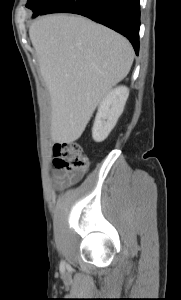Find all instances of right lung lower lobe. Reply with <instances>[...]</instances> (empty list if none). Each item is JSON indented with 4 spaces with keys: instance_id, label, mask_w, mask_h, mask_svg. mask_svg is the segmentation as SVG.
<instances>
[{
    "instance_id": "right-lung-lower-lobe-1",
    "label": "right lung lower lobe",
    "mask_w": 181,
    "mask_h": 300,
    "mask_svg": "<svg viewBox=\"0 0 181 300\" xmlns=\"http://www.w3.org/2000/svg\"><path fill=\"white\" fill-rule=\"evenodd\" d=\"M58 12L80 14L119 32L138 55L140 0H56L40 15Z\"/></svg>"
}]
</instances>
